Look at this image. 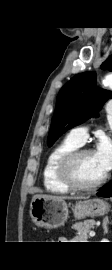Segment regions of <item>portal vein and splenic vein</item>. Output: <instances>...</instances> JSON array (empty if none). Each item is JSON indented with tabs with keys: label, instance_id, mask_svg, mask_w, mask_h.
<instances>
[{
	"label": "portal vein and splenic vein",
	"instance_id": "1",
	"mask_svg": "<svg viewBox=\"0 0 112 270\" xmlns=\"http://www.w3.org/2000/svg\"><path fill=\"white\" fill-rule=\"evenodd\" d=\"M89 235H90L91 237H94V236H95V232H94V231H90Z\"/></svg>",
	"mask_w": 112,
	"mask_h": 270
}]
</instances>
